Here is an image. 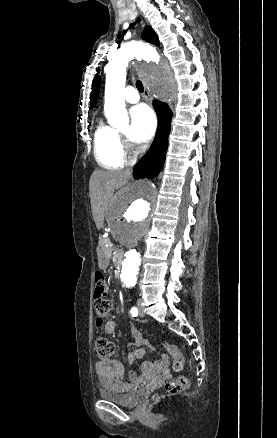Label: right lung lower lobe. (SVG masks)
I'll return each mask as SVG.
<instances>
[{
    "label": "right lung lower lobe",
    "mask_w": 277,
    "mask_h": 438,
    "mask_svg": "<svg viewBox=\"0 0 277 438\" xmlns=\"http://www.w3.org/2000/svg\"><path fill=\"white\" fill-rule=\"evenodd\" d=\"M154 108L159 119L157 134L147 154L134 167L135 179L155 177L165 162L172 111L167 104L157 100L154 101Z\"/></svg>",
    "instance_id": "right-lung-lower-lobe-1"
}]
</instances>
